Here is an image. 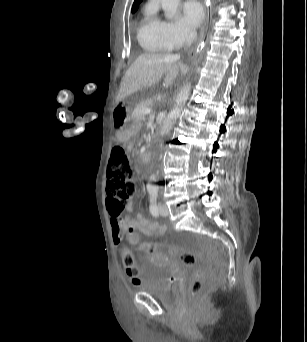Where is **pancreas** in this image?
<instances>
[{"instance_id": "pancreas-1", "label": "pancreas", "mask_w": 307, "mask_h": 342, "mask_svg": "<svg viewBox=\"0 0 307 342\" xmlns=\"http://www.w3.org/2000/svg\"><path fill=\"white\" fill-rule=\"evenodd\" d=\"M153 100H145V102H140L137 107L134 108L135 118L136 119H143L144 113L143 110H147V108H152Z\"/></svg>"}]
</instances>
